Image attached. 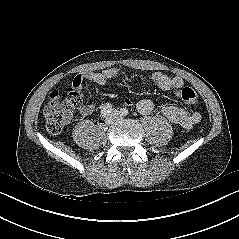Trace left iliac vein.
<instances>
[{
  "instance_id": "left-iliac-vein-1",
  "label": "left iliac vein",
  "mask_w": 239,
  "mask_h": 239,
  "mask_svg": "<svg viewBox=\"0 0 239 239\" xmlns=\"http://www.w3.org/2000/svg\"><path fill=\"white\" fill-rule=\"evenodd\" d=\"M111 114L115 117L116 120L122 119L120 112L117 109H112Z\"/></svg>"
}]
</instances>
